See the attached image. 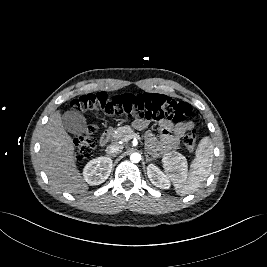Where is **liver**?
<instances>
[{
    "instance_id": "liver-1",
    "label": "liver",
    "mask_w": 267,
    "mask_h": 267,
    "mask_svg": "<svg viewBox=\"0 0 267 267\" xmlns=\"http://www.w3.org/2000/svg\"><path fill=\"white\" fill-rule=\"evenodd\" d=\"M40 143L39 158L50 183L68 193L86 192L89 187L77 169L73 139L66 132L58 111L50 116Z\"/></svg>"
}]
</instances>
